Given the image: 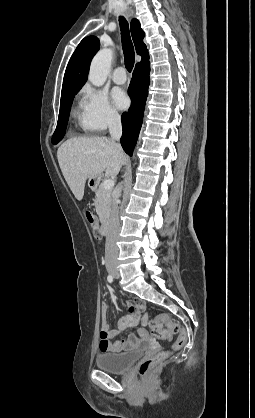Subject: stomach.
Here are the masks:
<instances>
[{"label": "stomach", "instance_id": "0dacf381", "mask_svg": "<svg viewBox=\"0 0 255 418\" xmlns=\"http://www.w3.org/2000/svg\"><path fill=\"white\" fill-rule=\"evenodd\" d=\"M97 184H98V180H97V178L96 177H91V178H89V181H88V185L91 187V188H95L96 186H97Z\"/></svg>", "mask_w": 255, "mask_h": 418}]
</instances>
